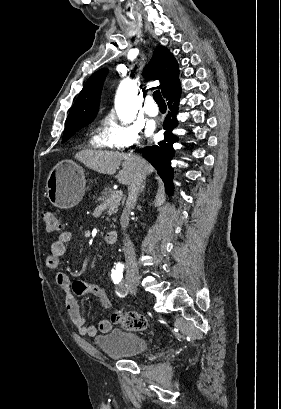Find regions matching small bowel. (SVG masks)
I'll return each mask as SVG.
<instances>
[{
    "instance_id": "1",
    "label": "small bowel",
    "mask_w": 281,
    "mask_h": 409,
    "mask_svg": "<svg viewBox=\"0 0 281 409\" xmlns=\"http://www.w3.org/2000/svg\"><path fill=\"white\" fill-rule=\"evenodd\" d=\"M72 234L70 231H62L51 244L50 255L46 259V266L50 270H57L55 279L65 294V307L68 317L77 329L79 335L94 337L99 333H108L112 330V320H101L97 325H88L80 312L77 295H92L100 299L106 308L111 307V301L104 288L86 283L84 281H72L63 271H58L60 257L65 254L66 245L70 242Z\"/></svg>"
}]
</instances>
